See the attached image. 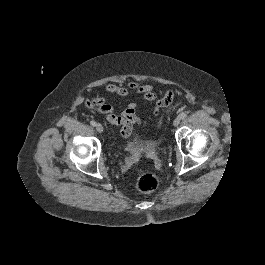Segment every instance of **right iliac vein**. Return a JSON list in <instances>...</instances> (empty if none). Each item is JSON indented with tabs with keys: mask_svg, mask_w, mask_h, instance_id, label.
<instances>
[{
	"mask_svg": "<svg viewBox=\"0 0 265 265\" xmlns=\"http://www.w3.org/2000/svg\"><path fill=\"white\" fill-rule=\"evenodd\" d=\"M96 130H97L99 133H102V132H103V126H102V124L97 123V124H96Z\"/></svg>",
	"mask_w": 265,
	"mask_h": 265,
	"instance_id": "63e3f726",
	"label": "right iliac vein"
}]
</instances>
